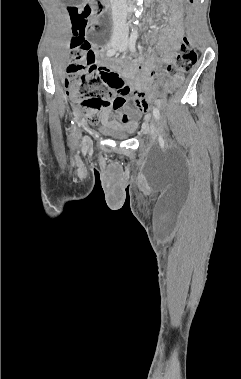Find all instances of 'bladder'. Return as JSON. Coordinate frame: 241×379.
<instances>
[{"label": "bladder", "mask_w": 241, "mask_h": 379, "mask_svg": "<svg viewBox=\"0 0 241 379\" xmlns=\"http://www.w3.org/2000/svg\"><path fill=\"white\" fill-rule=\"evenodd\" d=\"M103 132L115 139H126L131 135V131L123 126L108 123L102 128Z\"/></svg>", "instance_id": "1"}]
</instances>
